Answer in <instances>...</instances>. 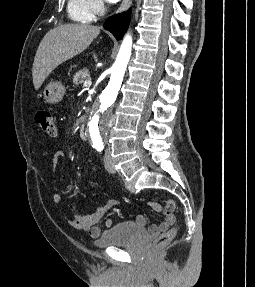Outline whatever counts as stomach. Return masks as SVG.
Wrapping results in <instances>:
<instances>
[{"label":"stomach","mask_w":255,"mask_h":287,"mask_svg":"<svg viewBox=\"0 0 255 287\" xmlns=\"http://www.w3.org/2000/svg\"><path fill=\"white\" fill-rule=\"evenodd\" d=\"M65 94V88L60 82H49L44 88L43 96L47 104H58Z\"/></svg>","instance_id":"0dacf381"}]
</instances>
